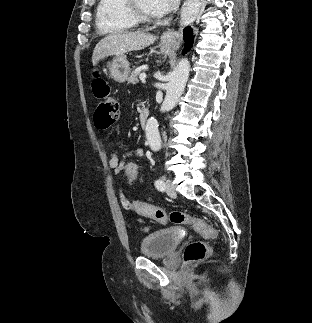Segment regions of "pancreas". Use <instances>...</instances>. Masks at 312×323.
<instances>
[{
	"instance_id": "pancreas-1",
	"label": "pancreas",
	"mask_w": 312,
	"mask_h": 323,
	"mask_svg": "<svg viewBox=\"0 0 312 323\" xmlns=\"http://www.w3.org/2000/svg\"><path fill=\"white\" fill-rule=\"evenodd\" d=\"M140 72H131L130 78H127L128 84H138V78Z\"/></svg>"
}]
</instances>
